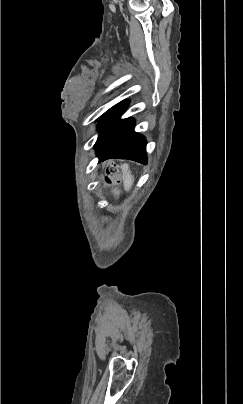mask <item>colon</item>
<instances>
[{
  "instance_id": "5ec220e1",
  "label": "colon",
  "mask_w": 243,
  "mask_h": 404,
  "mask_svg": "<svg viewBox=\"0 0 243 404\" xmlns=\"http://www.w3.org/2000/svg\"><path fill=\"white\" fill-rule=\"evenodd\" d=\"M107 182L111 183V184H114V183L117 182V178L115 176V170L114 169H111V172H110L109 176L107 177Z\"/></svg>"
}]
</instances>
